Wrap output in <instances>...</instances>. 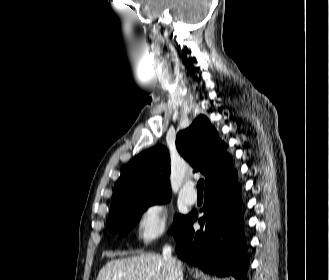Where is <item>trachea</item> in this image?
Here are the masks:
<instances>
[{"instance_id":"1","label":"trachea","mask_w":329,"mask_h":280,"mask_svg":"<svg viewBox=\"0 0 329 280\" xmlns=\"http://www.w3.org/2000/svg\"><path fill=\"white\" fill-rule=\"evenodd\" d=\"M197 189L198 191L202 192L203 191V180L200 179L197 183Z\"/></svg>"}]
</instances>
